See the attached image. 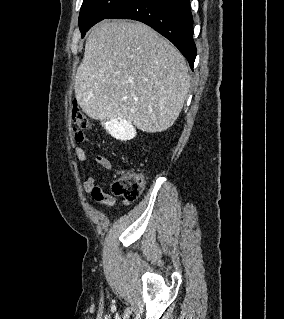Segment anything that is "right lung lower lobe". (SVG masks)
<instances>
[{"label":"right lung lower lobe","mask_w":284,"mask_h":319,"mask_svg":"<svg viewBox=\"0 0 284 319\" xmlns=\"http://www.w3.org/2000/svg\"><path fill=\"white\" fill-rule=\"evenodd\" d=\"M107 18L141 21L169 39L193 69L196 46L189 0H131Z\"/></svg>","instance_id":"right-lung-lower-lobe-1"}]
</instances>
